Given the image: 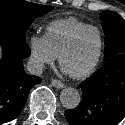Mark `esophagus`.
Here are the masks:
<instances>
[{
  "label": "esophagus",
  "instance_id": "obj_1",
  "mask_svg": "<svg viewBox=\"0 0 125 125\" xmlns=\"http://www.w3.org/2000/svg\"><path fill=\"white\" fill-rule=\"evenodd\" d=\"M51 84L53 87L57 88V89H62L64 88V84L60 81V80H57V79H53L51 81Z\"/></svg>",
  "mask_w": 125,
  "mask_h": 125
}]
</instances>
